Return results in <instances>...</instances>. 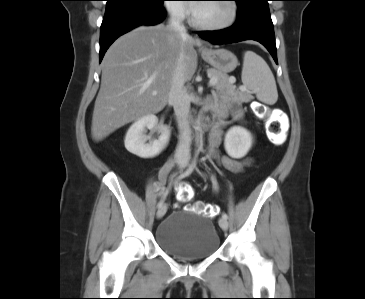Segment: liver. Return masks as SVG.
Masks as SVG:
<instances>
[{"instance_id":"obj_1","label":"liver","mask_w":365,"mask_h":299,"mask_svg":"<svg viewBox=\"0 0 365 299\" xmlns=\"http://www.w3.org/2000/svg\"><path fill=\"white\" fill-rule=\"evenodd\" d=\"M194 45L201 41L189 35L182 38L164 25L141 26L119 37L102 62L92 117L93 139L103 140L127 123L160 112L168 102L181 54L185 81L192 79L197 69Z\"/></svg>"}]
</instances>
